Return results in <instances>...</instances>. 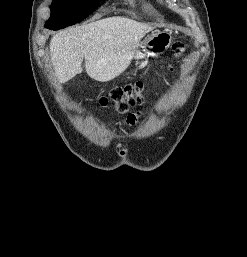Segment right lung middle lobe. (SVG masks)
Segmentation results:
<instances>
[{
    "label": "right lung middle lobe",
    "instance_id": "1",
    "mask_svg": "<svg viewBox=\"0 0 247 257\" xmlns=\"http://www.w3.org/2000/svg\"><path fill=\"white\" fill-rule=\"evenodd\" d=\"M101 0H53L45 27L58 30L85 19Z\"/></svg>",
    "mask_w": 247,
    "mask_h": 257
}]
</instances>
